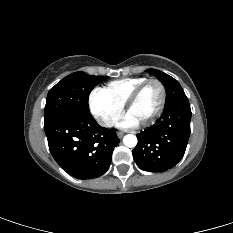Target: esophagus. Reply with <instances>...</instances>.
I'll list each match as a JSON object with an SVG mask.
<instances>
[{"label": "esophagus", "mask_w": 233, "mask_h": 233, "mask_svg": "<svg viewBox=\"0 0 233 233\" xmlns=\"http://www.w3.org/2000/svg\"><path fill=\"white\" fill-rule=\"evenodd\" d=\"M117 136H118V138L121 139V138L124 136V133H123V132H118V133H117Z\"/></svg>", "instance_id": "esophagus-1"}]
</instances>
